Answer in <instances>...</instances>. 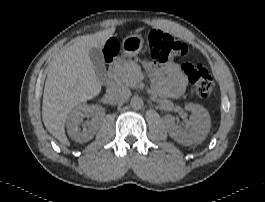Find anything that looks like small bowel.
<instances>
[{
	"label": "small bowel",
	"instance_id": "small-bowel-1",
	"mask_svg": "<svg viewBox=\"0 0 265 202\" xmlns=\"http://www.w3.org/2000/svg\"><path fill=\"white\" fill-rule=\"evenodd\" d=\"M143 67L152 81L150 88L152 93L173 97L183 93L185 77L177 63L158 64L153 61H144Z\"/></svg>",
	"mask_w": 265,
	"mask_h": 202
}]
</instances>
